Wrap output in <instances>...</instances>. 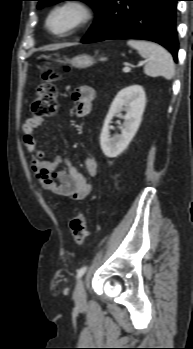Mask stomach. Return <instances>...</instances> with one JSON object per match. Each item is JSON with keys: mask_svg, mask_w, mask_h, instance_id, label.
<instances>
[{"mask_svg": "<svg viewBox=\"0 0 193 349\" xmlns=\"http://www.w3.org/2000/svg\"><path fill=\"white\" fill-rule=\"evenodd\" d=\"M103 58H101L100 60H102ZM65 63H69L71 66L76 67V68H87L92 66L95 63V59L93 57H91L90 55L87 54H80L77 55L75 57H73L72 59H67L65 60ZM51 64L50 63H45L42 66H37L38 70L40 73H44L45 71L50 69Z\"/></svg>", "mask_w": 193, "mask_h": 349, "instance_id": "obj_1", "label": "stomach"}]
</instances>
